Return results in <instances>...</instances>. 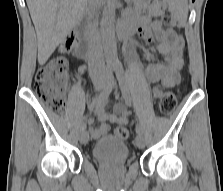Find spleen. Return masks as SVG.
<instances>
[{
	"label": "spleen",
	"instance_id": "spleen-1",
	"mask_svg": "<svg viewBox=\"0 0 223 191\" xmlns=\"http://www.w3.org/2000/svg\"><path fill=\"white\" fill-rule=\"evenodd\" d=\"M170 3V11L174 18L181 23H185L188 16L187 0H168Z\"/></svg>",
	"mask_w": 223,
	"mask_h": 191
}]
</instances>
